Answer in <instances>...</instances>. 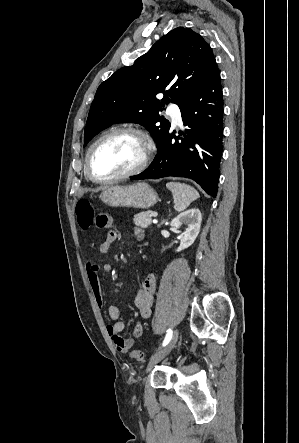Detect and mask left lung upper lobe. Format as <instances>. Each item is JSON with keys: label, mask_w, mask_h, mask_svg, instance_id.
<instances>
[{"label": "left lung upper lobe", "mask_w": 299, "mask_h": 443, "mask_svg": "<svg viewBox=\"0 0 299 443\" xmlns=\"http://www.w3.org/2000/svg\"><path fill=\"white\" fill-rule=\"evenodd\" d=\"M215 62L212 49L199 34L189 28L173 29L132 66L101 83L89 111L85 144L112 124L131 122L145 126L158 146L170 129L159 111L169 102L180 106ZM158 93L164 94L161 100L156 98Z\"/></svg>", "instance_id": "left-lung-upper-lobe-1"}]
</instances>
